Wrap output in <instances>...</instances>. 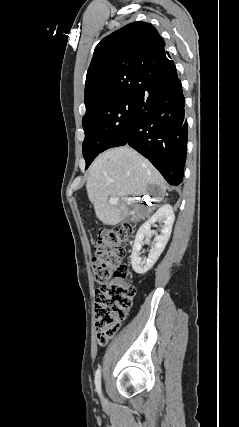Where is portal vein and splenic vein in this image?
Listing matches in <instances>:
<instances>
[{
	"mask_svg": "<svg viewBox=\"0 0 239 427\" xmlns=\"http://www.w3.org/2000/svg\"><path fill=\"white\" fill-rule=\"evenodd\" d=\"M135 201V198H128V200H127V202L130 204V203H132V202H134ZM117 202H118V198H116V197H111L110 199H109V203L110 204H117Z\"/></svg>",
	"mask_w": 239,
	"mask_h": 427,
	"instance_id": "1",
	"label": "portal vein and splenic vein"
}]
</instances>
